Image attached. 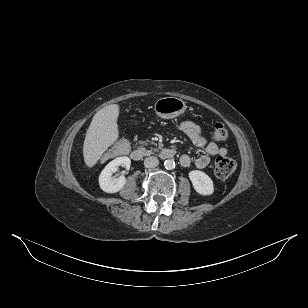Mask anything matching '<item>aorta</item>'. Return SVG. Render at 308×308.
Instances as JSON below:
<instances>
[{"label": "aorta", "instance_id": "aorta-1", "mask_svg": "<svg viewBox=\"0 0 308 308\" xmlns=\"http://www.w3.org/2000/svg\"><path fill=\"white\" fill-rule=\"evenodd\" d=\"M164 167L167 169V170H172L175 168V162L171 159H168L164 162Z\"/></svg>", "mask_w": 308, "mask_h": 308}]
</instances>
